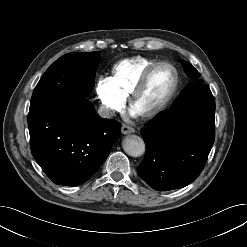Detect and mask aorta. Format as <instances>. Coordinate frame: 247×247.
<instances>
[{"instance_id":"obj_1","label":"aorta","mask_w":247,"mask_h":247,"mask_svg":"<svg viewBox=\"0 0 247 247\" xmlns=\"http://www.w3.org/2000/svg\"><path fill=\"white\" fill-rule=\"evenodd\" d=\"M124 151L132 157H139L145 152V143L143 139L137 135L127 136L123 142Z\"/></svg>"}]
</instances>
